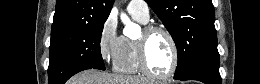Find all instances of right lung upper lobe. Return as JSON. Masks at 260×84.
<instances>
[{
  "label": "right lung upper lobe",
  "instance_id": "cb5924a9",
  "mask_svg": "<svg viewBox=\"0 0 260 84\" xmlns=\"http://www.w3.org/2000/svg\"><path fill=\"white\" fill-rule=\"evenodd\" d=\"M114 0H57L51 34L106 20Z\"/></svg>",
  "mask_w": 260,
  "mask_h": 84
}]
</instances>
